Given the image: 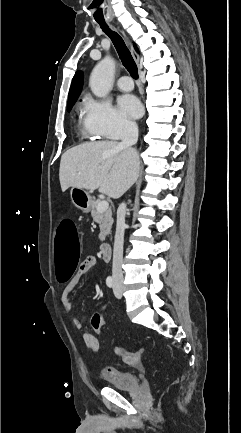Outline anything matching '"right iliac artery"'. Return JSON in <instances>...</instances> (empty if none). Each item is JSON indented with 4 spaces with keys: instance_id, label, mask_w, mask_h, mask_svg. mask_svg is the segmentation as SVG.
<instances>
[{
    "instance_id": "82829eb1",
    "label": "right iliac artery",
    "mask_w": 241,
    "mask_h": 433,
    "mask_svg": "<svg viewBox=\"0 0 241 433\" xmlns=\"http://www.w3.org/2000/svg\"><path fill=\"white\" fill-rule=\"evenodd\" d=\"M106 284H107V286L110 287V288L113 287L114 282H113V279H112L111 276L107 277V279H106Z\"/></svg>"
}]
</instances>
